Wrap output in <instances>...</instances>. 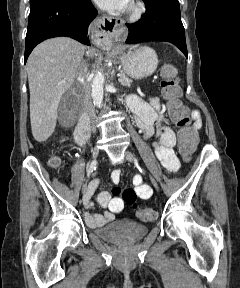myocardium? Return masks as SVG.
Segmentation results:
<instances>
[{"instance_id": "myocardium-1", "label": "myocardium", "mask_w": 240, "mask_h": 288, "mask_svg": "<svg viewBox=\"0 0 240 288\" xmlns=\"http://www.w3.org/2000/svg\"><path fill=\"white\" fill-rule=\"evenodd\" d=\"M145 12H146L145 4L140 0H136L130 6L129 20L131 22H137L143 18Z\"/></svg>"}]
</instances>
